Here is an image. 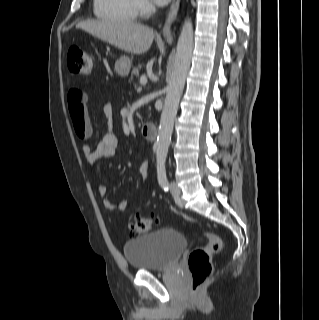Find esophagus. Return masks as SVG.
<instances>
[{"label": "esophagus", "mask_w": 319, "mask_h": 320, "mask_svg": "<svg viewBox=\"0 0 319 320\" xmlns=\"http://www.w3.org/2000/svg\"><path fill=\"white\" fill-rule=\"evenodd\" d=\"M179 5H180V0H173L171 7H170V11H169V15L165 21V24L163 26L162 29V33L163 36L167 39L168 42L172 41V32H171V25L173 22L174 17L176 16L178 9H179Z\"/></svg>", "instance_id": "esophagus-1"}]
</instances>
